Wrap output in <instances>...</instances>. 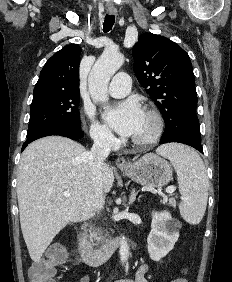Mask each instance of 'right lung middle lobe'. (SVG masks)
I'll return each mask as SVG.
<instances>
[{"mask_svg": "<svg viewBox=\"0 0 232 282\" xmlns=\"http://www.w3.org/2000/svg\"><path fill=\"white\" fill-rule=\"evenodd\" d=\"M79 95V92L65 91L34 93L27 135L57 124L80 129Z\"/></svg>", "mask_w": 232, "mask_h": 282, "instance_id": "1", "label": "right lung middle lobe"}]
</instances>
